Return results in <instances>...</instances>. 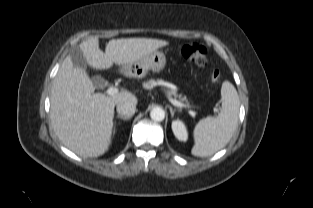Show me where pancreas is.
Masks as SVG:
<instances>
[{"instance_id":"1","label":"pancreas","mask_w":313,"mask_h":208,"mask_svg":"<svg viewBox=\"0 0 313 208\" xmlns=\"http://www.w3.org/2000/svg\"><path fill=\"white\" fill-rule=\"evenodd\" d=\"M155 84H156V81L153 80V79H151V80H149V81H147V82H144V83H143V87H144L145 89H148L149 87H151V86H153V85H155ZM166 93H167L169 96L179 97L181 101H187V98H186L185 96H184V97H182L181 95L178 96L175 90H172V89L166 90Z\"/></svg>"}]
</instances>
